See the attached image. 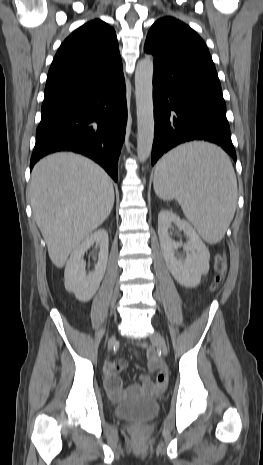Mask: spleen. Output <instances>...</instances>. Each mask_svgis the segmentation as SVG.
<instances>
[{"label":"spleen","mask_w":263,"mask_h":465,"mask_svg":"<svg viewBox=\"0 0 263 465\" xmlns=\"http://www.w3.org/2000/svg\"><path fill=\"white\" fill-rule=\"evenodd\" d=\"M154 190L165 201L176 199L208 243L222 240L235 214L233 166L226 153L208 143L184 144L164 155L155 169Z\"/></svg>","instance_id":"spleen-1"}]
</instances>
